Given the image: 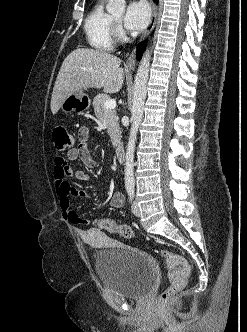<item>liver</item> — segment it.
<instances>
[{"label":"liver","mask_w":247,"mask_h":332,"mask_svg":"<svg viewBox=\"0 0 247 332\" xmlns=\"http://www.w3.org/2000/svg\"><path fill=\"white\" fill-rule=\"evenodd\" d=\"M121 60L105 51L78 48L63 61L51 97V111L56 114L71 94L88 88L117 93L122 88L126 69Z\"/></svg>","instance_id":"1"}]
</instances>
